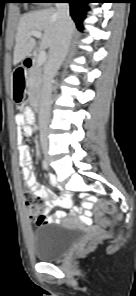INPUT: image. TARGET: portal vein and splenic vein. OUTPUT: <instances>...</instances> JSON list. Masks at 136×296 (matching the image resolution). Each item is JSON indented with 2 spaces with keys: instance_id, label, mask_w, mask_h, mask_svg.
I'll return each instance as SVG.
<instances>
[{
  "instance_id": "obj_1",
  "label": "portal vein and splenic vein",
  "mask_w": 136,
  "mask_h": 296,
  "mask_svg": "<svg viewBox=\"0 0 136 296\" xmlns=\"http://www.w3.org/2000/svg\"><path fill=\"white\" fill-rule=\"evenodd\" d=\"M29 36H34V37H37V38H42V33L40 31H31L29 33ZM46 58H47V54L45 52L44 49H41L39 51V54L37 56V66H41L44 64V62L46 61Z\"/></svg>"
}]
</instances>
